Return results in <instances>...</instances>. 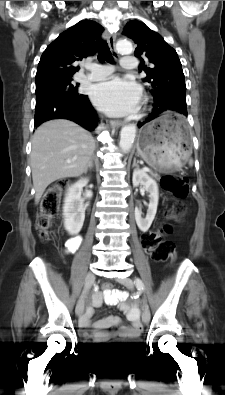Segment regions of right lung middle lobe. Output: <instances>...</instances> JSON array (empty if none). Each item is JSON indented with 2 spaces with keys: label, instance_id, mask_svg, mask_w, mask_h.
Masks as SVG:
<instances>
[{
  "label": "right lung middle lobe",
  "instance_id": "right-lung-middle-lobe-1",
  "mask_svg": "<svg viewBox=\"0 0 225 395\" xmlns=\"http://www.w3.org/2000/svg\"><path fill=\"white\" fill-rule=\"evenodd\" d=\"M79 84H72V79L60 80L36 86V107L38 108L61 96H81Z\"/></svg>",
  "mask_w": 225,
  "mask_h": 395
}]
</instances>
